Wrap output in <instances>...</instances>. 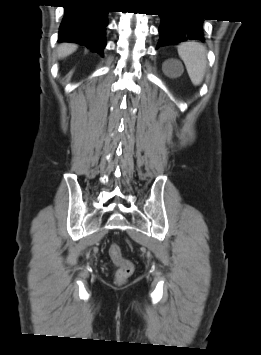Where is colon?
Masks as SVG:
<instances>
[{"mask_svg": "<svg viewBox=\"0 0 261 355\" xmlns=\"http://www.w3.org/2000/svg\"><path fill=\"white\" fill-rule=\"evenodd\" d=\"M109 256L112 262L118 267L116 271L117 282H125L134 271L133 263L123 256L120 247L115 243L109 246Z\"/></svg>", "mask_w": 261, "mask_h": 355, "instance_id": "obj_1", "label": "colon"}]
</instances>
